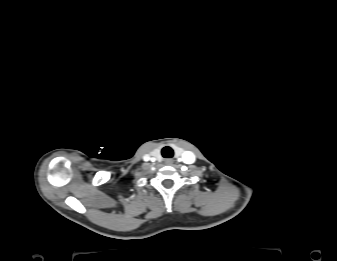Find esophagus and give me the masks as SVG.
I'll return each mask as SVG.
<instances>
[{
	"instance_id": "1",
	"label": "esophagus",
	"mask_w": 337,
	"mask_h": 261,
	"mask_svg": "<svg viewBox=\"0 0 337 261\" xmlns=\"http://www.w3.org/2000/svg\"><path fill=\"white\" fill-rule=\"evenodd\" d=\"M173 162H174L173 159H166V160H165V164H166V165H172Z\"/></svg>"
}]
</instances>
